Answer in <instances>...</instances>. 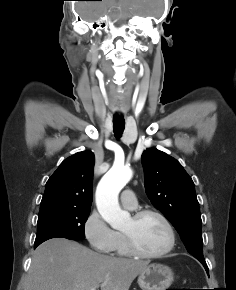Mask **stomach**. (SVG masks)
Listing matches in <instances>:
<instances>
[{
	"label": "stomach",
	"mask_w": 236,
	"mask_h": 290,
	"mask_svg": "<svg viewBox=\"0 0 236 290\" xmlns=\"http://www.w3.org/2000/svg\"><path fill=\"white\" fill-rule=\"evenodd\" d=\"M173 281V271L162 264H150L138 276V284L142 290H166Z\"/></svg>",
	"instance_id": "obj_1"
}]
</instances>
